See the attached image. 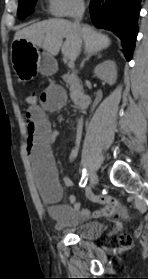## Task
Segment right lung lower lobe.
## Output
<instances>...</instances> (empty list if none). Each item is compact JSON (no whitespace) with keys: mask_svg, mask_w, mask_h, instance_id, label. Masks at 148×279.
<instances>
[{"mask_svg":"<svg viewBox=\"0 0 148 279\" xmlns=\"http://www.w3.org/2000/svg\"><path fill=\"white\" fill-rule=\"evenodd\" d=\"M140 9L141 0H92L90 4L93 23L120 37L128 61L135 47Z\"/></svg>","mask_w":148,"mask_h":279,"instance_id":"obj_1","label":"right lung lower lobe"}]
</instances>
